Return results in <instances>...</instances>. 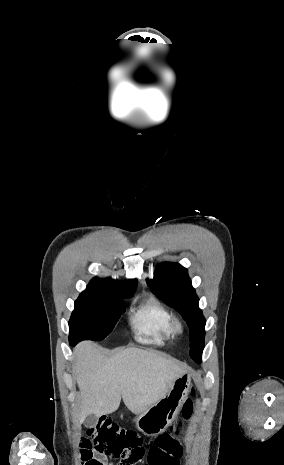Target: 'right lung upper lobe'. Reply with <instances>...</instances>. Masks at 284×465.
<instances>
[{
    "instance_id": "cb5924a9",
    "label": "right lung upper lobe",
    "mask_w": 284,
    "mask_h": 465,
    "mask_svg": "<svg viewBox=\"0 0 284 465\" xmlns=\"http://www.w3.org/2000/svg\"><path fill=\"white\" fill-rule=\"evenodd\" d=\"M136 286L137 280L118 282L111 279H100L97 277L93 278L88 285V287L106 290L118 296L133 294Z\"/></svg>"
}]
</instances>
